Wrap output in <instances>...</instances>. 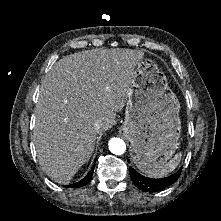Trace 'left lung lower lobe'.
<instances>
[{
	"label": "left lung lower lobe",
	"instance_id": "0a47b994",
	"mask_svg": "<svg viewBox=\"0 0 221 221\" xmlns=\"http://www.w3.org/2000/svg\"><path fill=\"white\" fill-rule=\"evenodd\" d=\"M181 169L182 168H180L176 173L169 177L162 179H152L144 177L136 170L130 168V176L133 179L135 185L142 191L157 192L173 184L179 178Z\"/></svg>",
	"mask_w": 221,
	"mask_h": 221
}]
</instances>
